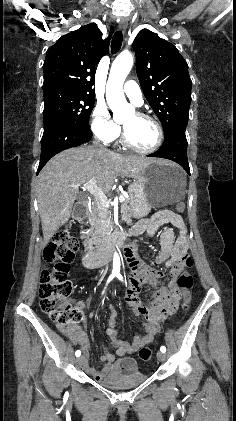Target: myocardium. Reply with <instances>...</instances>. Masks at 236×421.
<instances>
[{
	"label": "myocardium",
	"mask_w": 236,
	"mask_h": 421,
	"mask_svg": "<svg viewBox=\"0 0 236 421\" xmlns=\"http://www.w3.org/2000/svg\"><path fill=\"white\" fill-rule=\"evenodd\" d=\"M136 114L139 117L148 120L149 122H151L154 125V127L156 129V141L153 144V146H151L150 148H147V149L139 148L129 141V139L127 137V134H126V131L123 127L122 128V142L127 148L131 149L132 151H135V152L140 153V154H152V153L156 152L160 148V146L162 145L163 137H164L163 128H162L161 124L154 117H152V116H150L146 113H143V112H136Z\"/></svg>",
	"instance_id": "obj_1"
}]
</instances>
